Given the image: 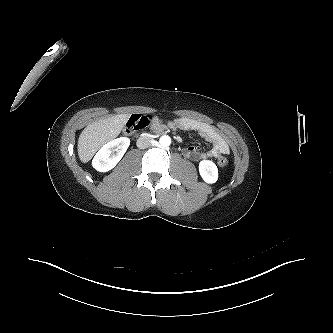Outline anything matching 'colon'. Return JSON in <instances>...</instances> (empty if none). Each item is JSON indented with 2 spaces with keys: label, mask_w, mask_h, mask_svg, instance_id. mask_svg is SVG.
<instances>
[{
  "label": "colon",
  "mask_w": 333,
  "mask_h": 333,
  "mask_svg": "<svg viewBox=\"0 0 333 333\" xmlns=\"http://www.w3.org/2000/svg\"><path fill=\"white\" fill-rule=\"evenodd\" d=\"M152 120L153 118L149 115H133L125 125L123 134L126 136L132 135L138 130L147 127L150 123H152ZM217 163L219 166L224 167L228 164V160L225 156L221 155L218 157Z\"/></svg>",
  "instance_id": "colon-1"
}]
</instances>
